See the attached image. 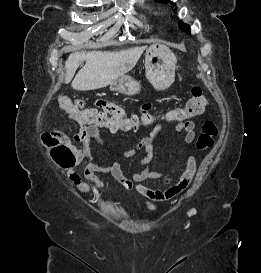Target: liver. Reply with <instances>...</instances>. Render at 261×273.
Returning a JSON list of instances; mask_svg holds the SVG:
<instances>
[{
    "label": "liver",
    "mask_w": 261,
    "mask_h": 273,
    "mask_svg": "<svg viewBox=\"0 0 261 273\" xmlns=\"http://www.w3.org/2000/svg\"><path fill=\"white\" fill-rule=\"evenodd\" d=\"M144 49L145 47H133L112 52H74L65 62V83L71 82L79 65L86 61L73 79L72 88L77 91H89L106 87L132 70Z\"/></svg>",
    "instance_id": "obj_1"
}]
</instances>
